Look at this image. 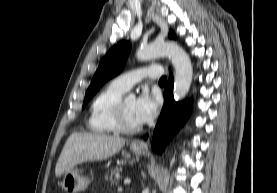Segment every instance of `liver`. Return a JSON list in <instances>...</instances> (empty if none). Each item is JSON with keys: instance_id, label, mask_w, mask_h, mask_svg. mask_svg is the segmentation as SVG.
<instances>
[{"instance_id": "obj_1", "label": "liver", "mask_w": 277, "mask_h": 193, "mask_svg": "<svg viewBox=\"0 0 277 193\" xmlns=\"http://www.w3.org/2000/svg\"><path fill=\"white\" fill-rule=\"evenodd\" d=\"M125 145V140L100 133H73L67 139L58 158L55 175L60 177L78 164L105 160Z\"/></svg>"}]
</instances>
